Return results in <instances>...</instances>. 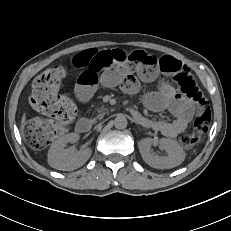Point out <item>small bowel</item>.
<instances>
[{
    "mask_svg": "<svg viewBox=\"0 0 231 231\" xmlns=\"http://www.w3.org/2000/svg\"><path fill=\"white\" fill-rule=\"evenodd\" d=\"M127 53L121 49H112L88 50L77 54L73 65L82 69L75 85L77 98L82 102L88 101L99 86H119L124 92L135 93L139 88V80L151 82L160 74L174 78L182 74L193 81L196 88L194 96L180 94L170 85H163L158 91L150 92L144 97L148 109L156 112L168 110L174 116L172 121L148 119L138 113L134 115L143 125L168 137L183 132L191 119L198 115L203 98L190 68L170 56L158 59L141 51L142 60L132 61L126 58Z\"/></svg>",
    "mask_w": 231,
    "mask_h": 231,
    "instance_id": "obj_1",
    "label": "small bowel"
}]
</instances>
